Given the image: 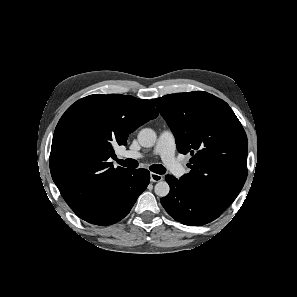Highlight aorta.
Segmentation results:
<instances>
[{"label":"aorta","mask_w":297,"mask_h":297,"mask_svg":"<svg viewBox=\"0 0 297 297\" xmlns=\"http://www.w3.org/2000/svg\"><path fill=\"white\" fill-rule=\"evenodd\" d=\"M157 139L156 132L150 128H144L138 133V141L142 147L150 148L154 146ZM155 194L165 197L169 194L170 187L166 181H159L154 188Z\"/></svg>","instance_id":"762f6f07"}]
</instances>
